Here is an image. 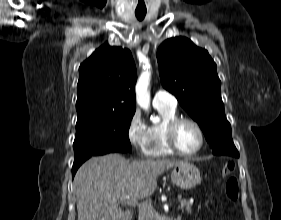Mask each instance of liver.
Wrapping results in <instances>:
<instances>
[{
  "instance_id": "6515ba94",
  "label": "liver",
  "mask_w": 281,
  "mask_h": 220,
  "mask_svg": "<svg viewBox=\"0 0 281 220\" xmlns=\"http://www.w3.org/2000/svg\"><path fill=\"white\" fill-rule=\"evenodd\" d=\"M177 160L128 161L120 154L93 157L86 161L74 178L78 220H132L131 210L123 205L152 195L157 177L182 164ZM130 196V200H123Z\"/></svg>"
}]
</instances>
